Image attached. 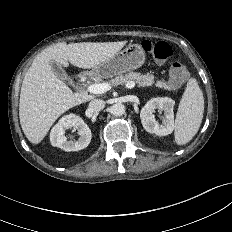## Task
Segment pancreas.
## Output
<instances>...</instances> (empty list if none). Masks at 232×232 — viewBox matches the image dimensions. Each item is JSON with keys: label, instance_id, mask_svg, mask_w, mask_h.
<instances>
[{"label": "pancreas", "instance_id": "cf45deb5", "mask_svg": "<svg viewBox=\"0 0 232 232\" xmlns=\"http://www.w3.org/2000/svg\"><path fill=\"white\" fill-rule=\"evenodd\" d=\"M129 81L136 82L139 86H152L155 85L158 88H164L168 90H172L169 84H167L164 80H156L152 74H141L136 72H130L124 76L118 75L115 78L110 80L112 85H123Z\"/></svg>", "mask_w": 232, "mask_h": 232}]
</instances>
